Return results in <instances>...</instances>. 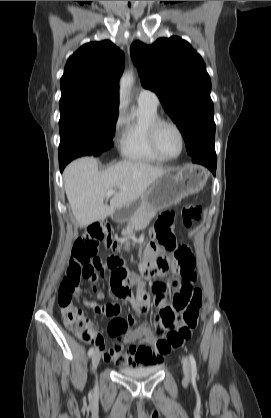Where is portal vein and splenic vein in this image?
Listing matches in <instances>:
<instances>
[{"instance_id": "1", "label": "portal vein and splenic vein", "mask_w": 271, "mask_h": 418, "mask_svg": "<svg viewBox=\"0 0 271 418\" xmlns=\"http://www.w3.org/2000/svg\"><path fill=\"white\" fill-rule=\"evenodd\" d=\"M114 193H115V190H114V189H111V190L107 191L106 196H107V197H110V196H111V195H113Z\"/></svg>"}]
</instances>
